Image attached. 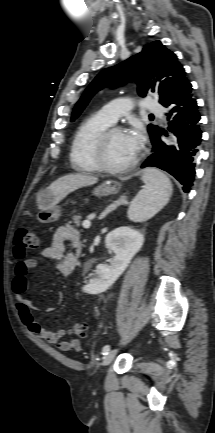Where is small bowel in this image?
I'll list each match as a JSON object with an SVG mask.
<instances>
[{
	"label": "small bowel",
	"mask_w": 215,
	"mask_h": 433,
	"mask_svg": "<svg viewBox=\"0 0 215 433\" xmlns=\"http://www.w3.org/2000/svg\"><path fill=\"white\" fill-rule=\"evenodd\" d=\"M66 243H69L70 250H67ZM81 236L79 231L72 225L59 226L53 235L51 244L46 246L42 254L46 259L57 262V270L60 274L70 275L78 262L81 253ZM37 259L30 257L20 260L15 267V276L12 281V291L17 301V310L22 323L33 333L48 343L56 344L60 351H80L82 344L76 338L64 339V329L48 330L36 322L33 311L36 306L26 297L25 292L29 285L28 273L37 266Z\"/></svg>",
	"instance_id": "obj_1"
}]
</instances>
